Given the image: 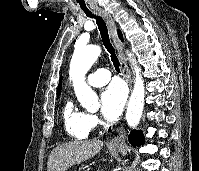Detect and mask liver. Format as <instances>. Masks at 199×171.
I'll return each instance as SVG.
<instances>
[{
  "label": "liver",
  "mask_w": 199,
  "mask_h": 171,
  "mask_svg": "<svg viewBox=\"0 0 199 171\" xmlns=\"http://www.w3.org/2000/svg\"><path fill=\"white\" fill-rule=\"evenodd\" d=\"M103 144L101 140L72 141L61 144L50 153L47 171H66L71 166L95 156Z\"/></svg>",
  "instance_id": "1"
}]
</instances>
